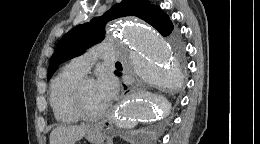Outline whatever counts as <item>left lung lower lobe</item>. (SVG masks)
I'll return each instance as SVG.
<instances>
[{
  "label": "left lung lower lobe",
  "mask_w": 260,
  "mask_h": 144,
  "mask_svg": "<svg viewBox=\"0 0 260 144\" xmlns=\"http://www.w3.org/2000/svg\"><path fill=\"white\" fill-rule=\"evenodd\" d=\"M116 75L120 76V75H121V73H119V72H118ZM125 88H126V87H125Z\"/></svg>",
  "instance_id": "1"
}]
</instances>
